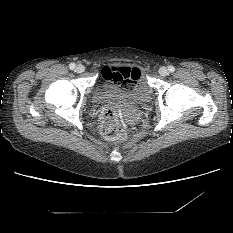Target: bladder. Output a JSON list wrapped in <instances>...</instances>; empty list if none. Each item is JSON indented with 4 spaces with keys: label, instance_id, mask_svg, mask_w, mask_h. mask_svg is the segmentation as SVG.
<instances>
[{
    "label": "bladder",
    "instance_id": "bladder-1",
    "mask_svg": "<svg viewBox=\"0 0 233 233\" xmlns=\"http://www.w3.org/2000/svg\"><path fill=\"white\" fill-rule=\"evenodd\" d=\"M136 77L135 86L130 90H125L116 83L110 76L103 75L97 84V96L99 101H108L118 98L132 100H144L149 96V88L144 77L143 68L139 65L132 67Z\"/></svg>",
    "mask_w": 233,
    "mask_h": 233
}]
</instances>
